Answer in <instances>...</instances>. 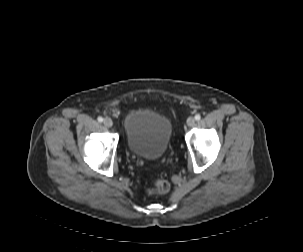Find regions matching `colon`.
<instances>
[{
	"instance_id": "obj_1",
	"label": "colon",
	"mask_w": 303,
	"mask_h": 252,
	"mask_svg": "<svg viewBox=\"0 0 303 252\" xmlns=\"http://www.w3.org/2000/svg\"><path fill=\"white\" fill-rule=\"evenodd\" d=\"M170 189V184L167 180L160 179L154 184V188L151 190L152 193L163 195L166 194Z\"/></svg>"
}]
</instances>
